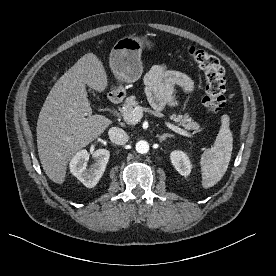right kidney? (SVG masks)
<instances>
[{"label": "right kidney", "mask_w": 276, "mask_h": 276, "mask_svg": "<svg viewBox=\"0 0 276 276\" xmlns=\"http://www.w3.org/2000/svg\"><path fill=\"white\" fill-rule=\"evenodd\" d=\"M91 155L95 163L90 168L87 167L90 153L86 150L77 152L69 164L70 172L88 188L95 187L99 182L109 161L110 152L106 149H98L91 152Z\"/></svg>", "instance_id": "1"}]
</instances>
